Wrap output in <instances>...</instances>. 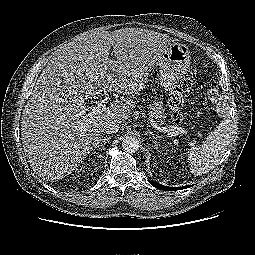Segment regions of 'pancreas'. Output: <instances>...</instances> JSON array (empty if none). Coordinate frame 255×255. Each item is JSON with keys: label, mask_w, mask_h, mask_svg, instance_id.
<instances>
[{"label": "pancreas", "mask_w": 255, "mask_h": 255, "mask_svg": "<svg viewBox=\"0 0 255 255\" xmlns=\"http://www.w3.org/2000/svg\"><path fill=\"white\" fill-rule=\"evenodd\" d=\"M150 107L152 109V113L154 114L155 118L161 122L162 124L166 123V117L163 112V107L160 102H153L150 104Z\"/></svg>", "instance_id": "cf45deb5"}]
</instances>
